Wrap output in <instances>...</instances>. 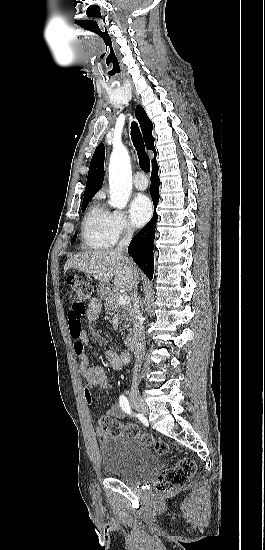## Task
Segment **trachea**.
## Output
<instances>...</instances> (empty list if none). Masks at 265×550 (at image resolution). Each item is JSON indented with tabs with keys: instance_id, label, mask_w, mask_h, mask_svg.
Returning <instances> with one entry per match:
<instances>
[{
	"instance_id": "3493384b",
	"label": "trachea",
	"mask_w": 265,
	"mask_h": 550,
	"mask_svg": "<svg viewBox=\"0 0 265 550\" xmlns=\"http://www.w3.org/2000/svg\"><path fill=\"white\" fill-rule=\"evenodd\" d=\"M131 138L138 153L139 165L144 172L148 173L150 171V160L145 152V147L139 128L135 123L131 126Z\"/></svg>"
}]
</instances>
